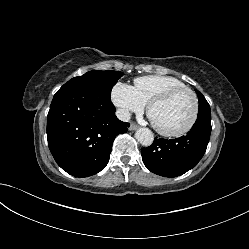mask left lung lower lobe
Returning <instances> with one entry per match:
<instances>
[{
	"instance_id": "0a47b994",
	"label": "left lung lower lobe",
	"mask_w": 249,
	"mask_h": 249,
	"mask_svg": "<svg viewBox=\"0 0 249 249\" xmlns=\"http://www.w3.org/2000/svg\"><path fill=\"white\" fill-rule=\"evenodd\" d=\"M211 133V116H198L187 135L167 140L155 138L141 150L145 166L164 177H176L195 167L203 157Z\"/></svg>"
}]
</instances>
